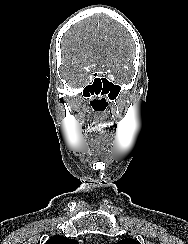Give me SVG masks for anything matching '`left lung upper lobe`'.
Wrapping results in <instances>:
<instances>
[{"instance_id":"obj_1","label":"left lung upper lobe","mask_w":188,"mask_h":244,"mask_svg":"<svg viewBox=\"0 0 188 244\" xmlns=\"http://www.w3.org/2000/svg\"><path fill=\"white\" fill-rule=\"evenodd\" d=\"M116 244H140V242H138L137 240L132 239V238H126V239L119 241Z\"/></svg>"}]
</instances>
